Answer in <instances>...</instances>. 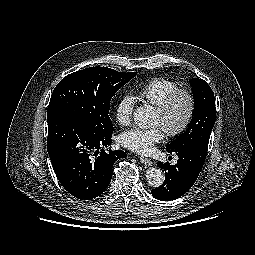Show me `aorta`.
Returning a JSON list of instances; mask_svg holds the SVG:
<instances>
[{"mask_svg":"<svg viewBox=\"0 0 255 255\" xmlns=\"http://www.w3.org/2000/svg\"><path fill=\"white\" fill-rule=\"evenodd\" d=\"M153 110L151 106L144 105L138 107L134 114L133 119L135 123L142 129L149 128L152 125ZM146 180L152 187H159L164 182V175L157 167H151L146 171Z\"/></svg>","mask_w":255,"mask_h":255,"instance_id":"762f6f07","label":"aorta"}]
</instances>
